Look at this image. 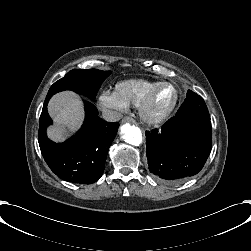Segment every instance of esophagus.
Masks as SVG:
<instances>
[{"label": "esophagus", "mask_w": 251, "mask_h": 251, "mask_svg": "<svg viewBox=\"0 0 251 251\" xmlns=\"http://www.w3.org/2000/svg\"><path fill=\"white\" fill-rule=\"evenodd\" d=\"M122 124H135V120L132 118V117H129V116H125L122 121H121Z\"/></svg>", "instance_id": "34e87169"}]
</instances>
